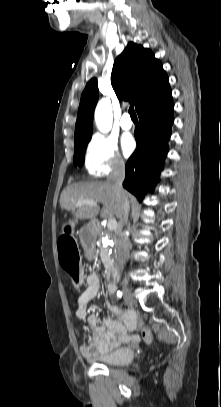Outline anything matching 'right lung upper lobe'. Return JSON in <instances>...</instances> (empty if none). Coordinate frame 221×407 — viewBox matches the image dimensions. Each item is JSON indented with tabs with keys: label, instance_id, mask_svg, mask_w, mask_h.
I'll return each mask as SVG.
<instances>
[{
	"label": "right lung upper lobe",
	"instance_id": "obj_1",
	"mask_svg": "<svg viewBox=\"0 0 221 407\" xmlns=\"http://www.w3.org/2000/svg\"><path fill=\"white\" fill-rule=\"evenodd\" d=\"M111 84L119 100L135 104L138 111L168 86V77L151 50L129 42L116 58ZM98 101L97 80L91 79L81 96L75 126V144L91 139L93 115Z\"/></svg>",
	"mask_w": 221,
	"mask_h": 407
}]
</instances>
